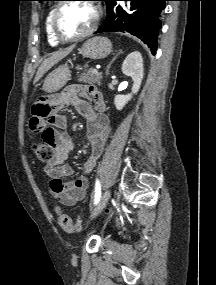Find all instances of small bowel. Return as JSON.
Instances as JSON below:
<instances>
[{
    "mask_svg": "<svg viewBox=\"0 0 216 285\" xmlns=\"http://www.w3.org/2000/svg\"><path fill=\"white\" fill-rule=\"evenodd\" d=\"M87 99L94 101L96 110ZM73 106L86 119V135L91 146V155L84 163L85 174L69 179L73 169L67 164L74 148L71 138L62 130L68 124L67 117L58 112L66 106ZM30 127L39 141L53 147L52 160L44 165L49 177L50 194L64 205L72 206L85 197L88 188L87 174L91 173L102 155L110 134L109 119L105 114V103L101 93L92 85L74 84L67 87L49 102L37 100L32 106Z\"/></svg>",
    "mask_w": 216,
    "mask_h": 285,
    "instance_id": "1",
    "label": "small bowel"
}]
</instances>
